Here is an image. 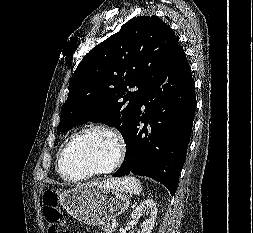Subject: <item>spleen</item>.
I'll use <instances>...</instances> for the list:
<instances>
[{"label":"spleen","mask_w":253,"mask_h":233,"mask_svg":"<svg viewBox=\"0 0 253 233\" xmlns=\"http://www.w3.org/2000/svg\"><path fill=\"white\" fill-rule=\"evenodd\" d=\"M112 183L110 184L111 188L119 189L123 192H127L129 194H140L142 191V186L140 181L133 177H124L119 179H112Z\"/></svg>","instance_id":"spleen-1"}]
</instances>
